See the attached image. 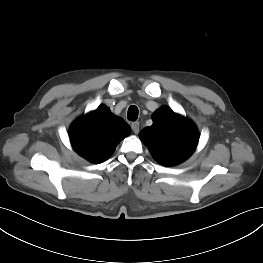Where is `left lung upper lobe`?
Masks as SVG:
<instances>
[{
  "label": "left lung upper lobe",
  "mask_w": 263,
  "mask_h": 263,
  "mask_svg": "<svg viewBox=\"0 0 263 263\" xmlns=\"http://www.w3.org/2000/svg\"><path fill=\"white\" fill-rule=\"evenodd\" d=\"M152 119V126L144 128L139 137L153 158L164 166H174L185 161L198 144L196 126L167 106L158 109Z\"/></svg>",
  "instance_id": "1"
}]
</instances>
